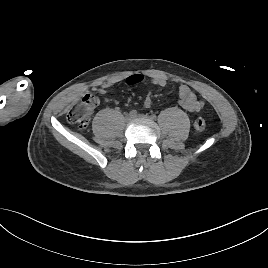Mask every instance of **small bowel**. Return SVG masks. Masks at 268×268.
Segmentation results:
<instances>
[{
    "mask_svg": "<svg viewBox=\"0 0 268 268\" xmlns=\"http://www.w3.org/2000/svg\"><path fill=\"white\" fill-rule=\"evenodd\" d=\"M144 80V76L141 74H133L126 79V83L128 85H137L141 83ZM150 81L152 84L163 87L166 85V79L161 76H152L150 78ZM114 86L113 83H104L102 84L97 90L99 93L104 94L108 92L112 87ZM179 94V105L181 108L189 111V112H199L203 106L204 103L202 100H199L197 97V94L193 89H191L189 86L182 84L179 86L178 89ZM144 106L146 108H149L152 104V99L150 96H146L144 99Z\"/></svg>",
    "mask_w": 268,
    "mask_h": 268,
    "instance_id": "1",
    "label": "small bowel"
}]
</instances>
